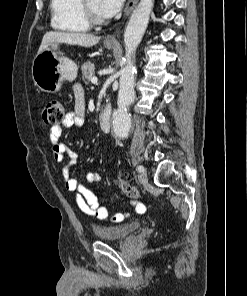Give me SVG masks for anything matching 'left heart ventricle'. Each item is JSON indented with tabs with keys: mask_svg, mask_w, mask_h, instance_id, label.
<instances>
[{
	"mask_svg": "<svg viewBox=\"0 0 247 296\" xmlns=\"http://www.w3.org/2000/svg\"><path fill=\"white\" fill-rule=\"evenodd\" d=\"M88 4L91 7V9L100 16L98 12V5H99V0H88Z\"/></svg>",
	"mask_w": 247,
	"mask_h": 296,
	"instance_id": "obj_1",
	"label": "left heart ventricle"
}]
</instances>
